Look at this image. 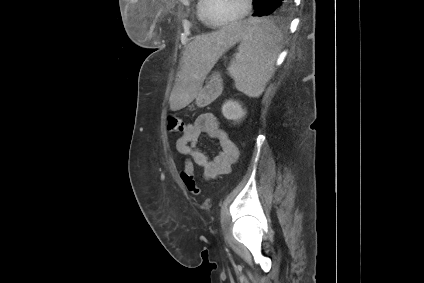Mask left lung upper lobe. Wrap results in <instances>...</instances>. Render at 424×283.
<instances>
[{
  "mask_svg": "<svg viewBox=\"0 0 424 283\" xmlns=\"http://www.w3.org/2000/svg\"><path fill=\"white\" fill-rule=\"evenodd\" d=\"M255 1H256V0H253V4L255 3ZM279 12H283V11H281V10H280V11H278V13H279Z\"/></svg>",
  "mask_w": 424,
  "mask_h": 283,
  "instance_id": "1",
  "label": "left lung upper lobe"
}]
</instances>
